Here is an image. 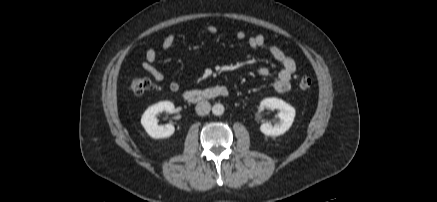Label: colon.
Listing matches in <instances>:
<instances>
[{
  "label": "colon",
  "mask_w": 437,
  "mask_h": 202,
  "mask_svg": "<svg viewBox=\"0 0 437 202\" xmlns=\"http://www.w3.org/2000/svg\"><path fill=\"white\" fill-rule=\"evenodd\" d=\"M299 88L308 90L312 86V79L307 75H302L298 82ZM151 86V82L145 77H132L129 79V88L133 94L141 95Z\"/></svg>",
  "instance_id": "5ec220e1"
}]
</instances>
